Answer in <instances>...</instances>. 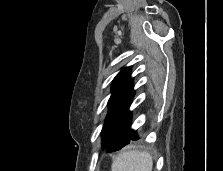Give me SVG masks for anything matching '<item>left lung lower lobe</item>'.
<instances>
[{
  "label": "left lung lower lobe",
  "instance_id": "obj_1",
  "mask_svg": "<svg viewBox=\"0 0 223 171\" xmlns=\"http://www.w3.org/2000/svg\"><path fill=\"white\" fill-rule=\"evenodd\" d=\"M130 125L131 117L129 112L111 134L110 138L103 144V149H106L107 152L117 151L132 140H138L136 131L130 129Z\"/></svg>",
  "mask_w": 223,
  "mask_h": 171
}]
</instances>
